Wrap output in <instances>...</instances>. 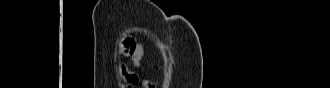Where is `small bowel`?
I'll return each instance as SVG.
<instances>
[{
  "label": "small bowel",
  "instance_id": "small-bowel-1",
  "mask_svg": "<svg viewBox=\"0 0 330 88\" xmlns=\"http://www.w3.org/2000/svg\"><path fill=\"white\" fill-rule=\"evenodd\" d=\"M131 55L135 67H139L140 59L143 55V48L139 45H136L135 43V47ZM119 74L121 75L123 81L130 87L138 85L140 82L139 74L135 71L128 69L125 65L119 66Z\"/></svg>",
  "mask_w": 330,
  "mask_h": 88
}]
</instances>
